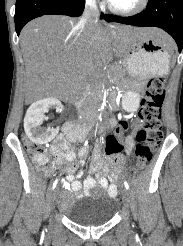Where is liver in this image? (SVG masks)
<instances>
[{"instance_id": "6515ba94", "label": "liver", "mask_w": 183, "mask_h": 246, "mask_svg": "<svg viewBox=\"0 0 183 246\" xmlns=\"http://www.w3.org/2000/svg\"><path fill=\"white\" fill-rule=\"evenodd\" d=\"M135 39L173 43L156 28L112 26L108 31L98 22L86 28L78 25V19L61 15L34 19L20 34L26 102L65 98L88 73L111 61L113 53L123 57L125 45Z\"/></svg>"}]
</instances>
